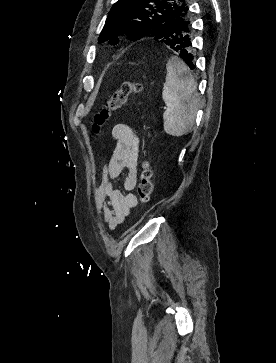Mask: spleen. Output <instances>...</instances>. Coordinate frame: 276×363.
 <instances>
[{
    "label": "spleen",
    "instance_id": "3e777b00",
    "mask_svg": "<svg viewBox=\"0 0 276 363\" xmlns=\"http://www.w3.org/2000/svg\"><path fill=\"white\" fill-rule=\"evenodd\" d=\"M166 81L162 99L167 108L163 114L164 131L174 137L189 133L198 110L197 83L187 65L172 56L166 64Z\"/></svg>",
    "mask_w": 276,
    "mask_h": 363
}]
</instances>
